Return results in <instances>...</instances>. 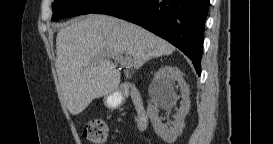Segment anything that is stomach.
<instances>
[{"label": "stomach", "mask_w": 273, "mask_h": 144, "mask_svg": "<svg viewBox=\"0 0 273 144\" xmlns=\"http://www.w3.org/2000/svg\"><path fill=\"white\" fill-rule=\"evenodd\" d=\"M124 101V97L120 91H114L104 97V104L109 109H117Z\"/></svg>", "instance_id": "stomach-1"}]
</instances>
